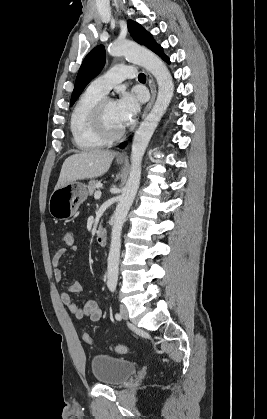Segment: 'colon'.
Wrapping results in <instances>:
<instances>
[{"label":"colon","instance_id":"1","mask_svg":"<svg viewBox=\"0 0 267 419\" xmlns=\"http://www.w3.org/2000/svg\"><path fill=\"white\" fill-rule=\"evenodd\" d=\"M62 240L67 247L75 246L74 234L70 230H66V231L63 232ZM82 337H83L84 342H86L87 344L92 343V338H91L90 334L84 333ZM112 349H113V351H115L117 353H121V354H125V353L129 352L128 347H126L124 345H116Z\"/></svg>","mask_w":267,"mask_h":419}]
</instances>
